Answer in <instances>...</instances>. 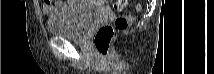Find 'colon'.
Instances as JSON below:
<instances>
[{"label":"colon","mask_w":214,"mask_h":74,"mask_svg":"<svg viewBox=\"0 0 214 74\" xmlns=\"http://www.w3.org/2000/svg\"><path fill=\"white\" fill-rule=\"evenodd\" d=\"M126 4L127 0L115 1L113 4V9L116 11H121L124 9ZM136 11H140L139 5L136 7ZM131 22V15L118 16L115 18L113 24H105L99 27L93 37V43L98 52L103 56H107L110 51L115 31H123L128 29Z\"/></svg>","instance_id":"colon-1"}]
</instances>
